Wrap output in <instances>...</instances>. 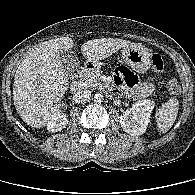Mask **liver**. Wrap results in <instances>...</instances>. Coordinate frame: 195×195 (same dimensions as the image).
I'll list each match as a JSON object with an SVG mask.
<instances>
[{
    "instance_id": "obj_1",
    "label": "liver",
    "mask_w": 195,
    "mask_h": 195,
    "mask_svg": "<svg viewBox=\"0 0 195 195\" xmlns=\"http://www.w3.org/2000/svg\"><path fill=\"white\" fill-rule=\"evenodd\" d=\"M130 44V41L118 38L93 39L81 45V52L90 61H100ZM73 45L69 37L43 42L33 48L18 66L13 100L18 115L28 125L44 127L59 111L69 81L58 53L71 50Z\"/></svg>"
}]
</instances>
